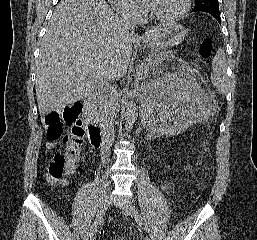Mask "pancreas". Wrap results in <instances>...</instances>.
Listing matches in <instances>:
<instances>
[{
    "label": "pancreas",
    "instance_id": "1",
    "mask_svg": "<svg viewBox=\"0 0 257 240\" xmlns=\"http://www.w3.org/2000/svg\"><path fill=\"white\" fill-rule=\"evenodd\" d=\"M173 57H174L173 54H169L166 52H161L149 57L148 59L144 60L143 63L137 68V78L138 79L147 78L150 71L157 69L160 64H162L164 61H167L169 58H173ZM105 107H106L105 96L98 95L92 103L93 111L98 115H103Z\"/></svg>",
    "mask_w": 257,
    "mask_h": 240
}]
</instances>
